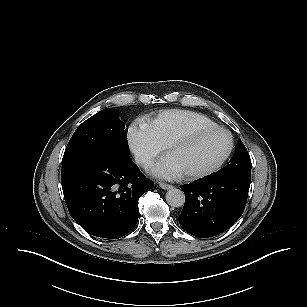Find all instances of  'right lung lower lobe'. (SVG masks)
Listing matches in <instances>:
<instances>
[{"mask_svg": "<svg viewBox=\"0 0 307 307\" xmlns=\"http://www.w3.org/2000/svg\"><path fill=\"white\" fill-rule=\"evenodd\" d=\"M153 187L126 154L99 151L62 165L71 217L89 234L118 239L138 221V200Z\"/></svg>", "mask_w": 307, "mask_h": 307, "instance_id": "98d812e1", "label": "right lung lower lobe"}]
</instances>
